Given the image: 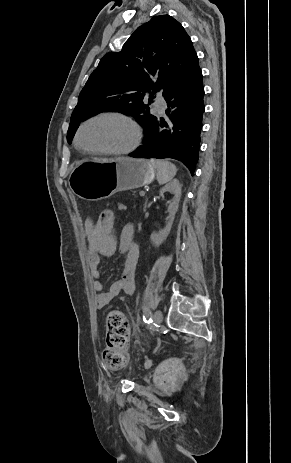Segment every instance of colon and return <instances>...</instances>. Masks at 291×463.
Segmentation results:
<instances>
[{
    "instance_id": "1",
    "label": "colon",
    "mask_w": 291,
    "mask_h": 463,
    "mask_svg": "<svg viewBox=\"0 0 291 463\" xmlns=\"http://www.w3.org/2000/svg\"><path fill=\"white\" fill-rule=\"evenodd\" d=\"M114 211L109 207H102L98 215V231L106 232L114 227ZM106 346L102 358L106 368L122 369L127 361V346L129 341V326L125 316L120 311H112L106 318Z\"/></svg>"
}]
</instances>
